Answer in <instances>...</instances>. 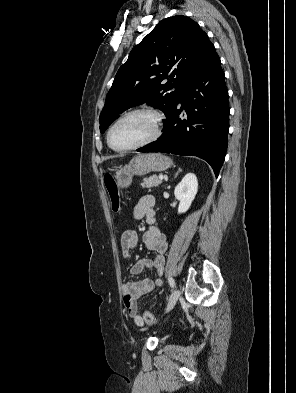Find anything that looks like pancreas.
<instances>
[{"instance_id": "obj_1", "label": "pancreas", "mask_w": 296, "mask_h": 393, "mask_svg": "<svg viewBox=\"0 0 296 393\" xmlns=\"http://www.w3.org/2000/svg\"><path fill=\"white\" fill-rule=\"evenodd\" d=\"M161 183H162V180H160L156 175H153L149 178H144L141 183V186L143 188H153V187H157Z\"/></svg>"}]
</instances>
